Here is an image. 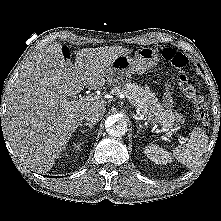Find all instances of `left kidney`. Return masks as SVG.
I'll use <instances>...</instances> for the list:
<instances>
[{"label": "left kidney", "instance_id": "5707ae66", "mask_svg": "<svg viewBox=\"0 0 221 221\" xmlns=\"http://www.w3.org/2000/svg\"><path fill=\"white\" fill-rule=\"evenodd\" d=\"M144 153L147 157L156 164H167L172 161L171 156L167 151L156 146L155 144H149L145 146Z\"/></svg>", "mask_w": 221, "mask_h": 221}]
</instances>
